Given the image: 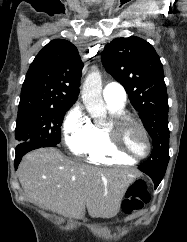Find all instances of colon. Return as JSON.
Listing matches in <instances>:
<instances>
[{"label":"colon","mask_w":187,"mask_h":242,"mask_svg":"<svg viewBox=\"0 0 187 242\" xmlns=\"http://www.w3.org/2000/svg\"><path fill=\"white\" fill-rule=\"evenodd\" d=\"M150 201V193L144 180H136L127 190L123 202V211L126 214L140 212Z\"/></svg>","instance_id":"1"}]
</instances>
